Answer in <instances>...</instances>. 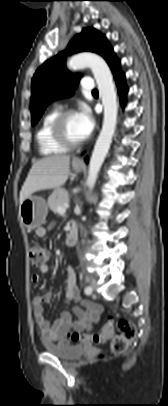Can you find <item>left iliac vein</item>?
<instances>
[{"mask_svg": "<svg viewBox=\"0 0 168 406\" xmlns=\"http://www.w3.org/2000/svg\"><path fill=\"white\" fill-rule=\"evenodd\" d=\"M95 287H96V284H95V283H93V284H92V288H95Z\"/></svg>", "mask_w": 168, "mask_h": 406, "instance_id": "obj_1", "label": "left iliac vein"}]
</instances>
